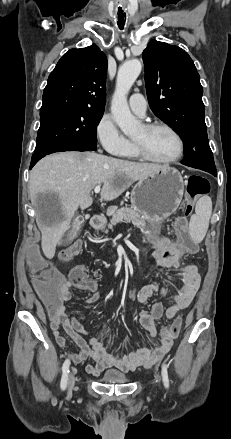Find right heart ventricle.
Masks as SVG:
<instances>
[{
    "label": "right heart ventricle",
    "mask_w": 231,
    "mask_h": 439,
    "mask_svg": "<svg viewBox=\"0 0 231 439\" xmlns=\"http://www.w3.org/2000/svg\"><path fill=\"white\" fill-rule=\"evenodd\" d=\"M126 157L136 159L138 158V155L136 154L133 144L129 142V149L125 154Z\"/></svg>",
    "instance_id": "e07e8e85"
}]
</instances>
